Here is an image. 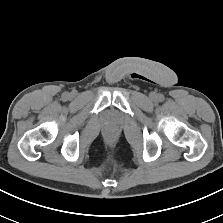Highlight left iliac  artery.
I'll use <instances>...</instances> for the list:
<instances>
[{
	"label": "left iliac artery",
	"mask_w": 223,
	"mask_h": 223,
	"mask_svg": "<svg viewBox=\"0 0 223 223\" xmlns=\"http://www.w3.org/2000/svg\"><path fill=\"white\" fill-rule=\"evenodd\" d=\"M157 99H158V101L161 102L164 100V96L160 94V95H158Z\"/></svg>",
	"instance_id": "44dca946"
}]
</instances>
